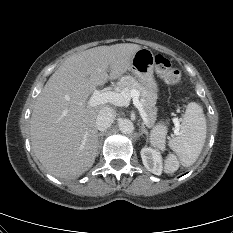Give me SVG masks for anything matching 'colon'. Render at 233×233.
<instances>
[{
    "label": "colon",
    "instance_id": "5ec220e1",
    "mask_svg": "<svg viewBox=\"0 0 233 233\" xmlns=\"http://www.w3.org/2000/svg\"><path fill=\"white\" fill-rule=\"evenodd\" d=\"M154 64L156 72L168 84L175 85L181 79L179 70L171 66L170 61L163 55H156L154 57ZM151 145L157 150L164 151L166 144V127L163 124H158L150 137ZM179 168L177 157L173 153H168L164 161V171L173 174Z\"/></svg>",
    "mask_w": 233,
    "mask_h": 233
}]
</instances>
